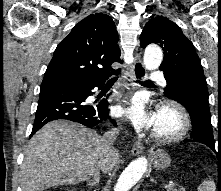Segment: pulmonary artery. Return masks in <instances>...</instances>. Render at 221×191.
<instances>
[{"instance_id": "obj_1", "label": "pulmonary artery", "mask_w": 221, "mask_h": 191, "mask_svg": "<svg viewBox=\"0 0 221 191\" xmlns=\"http://www.w3.org/2000/svg\"><path fill=\"white\" fill-rule=\"evenodd\" d=\"M150 79L153 81H158L163 85H166V80L163 77V74L158 71H154L150 74Z\"/></svg>"}]
</instances>
